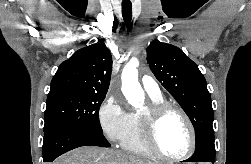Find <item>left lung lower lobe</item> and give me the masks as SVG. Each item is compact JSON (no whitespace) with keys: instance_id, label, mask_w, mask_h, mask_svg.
I'll return each instance as SVG.
<instances>
[{"instance_id":"left-lung-lower-lobe-1","label":"left lung lower lobe","mask_w":251,"mask_h":164,"mask_svg":"<svg viewBox=\"0 0 251 164\" xmlns=\"http://www.w3.org/2000/svg\"><path fill=\"white\" fill-rule=\"evenodd\" d=\"M187 162H211V163H214L215 162V155L208 153L204 149H199V150L195 151L193 157L191 159L187 160Z\"/></svg>"}]
</instances>
